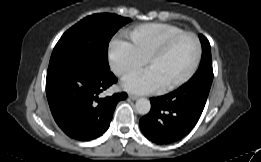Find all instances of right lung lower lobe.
Segmentation results:
<instances>
[{
    "label": "right lung lower lobe",
    "instance_id": "1",
    "mask_svg": "<svg viewBox=\"0 0 261 162\" xmlns=\"http://www.w3.org/2000/svg\"><path fill=\"white\" fill-rule=\"evenodd\" d=\"M117 81L109 68L87 60H69L48 68L46 95L58 126L71 138L89 141L109 128L117 103L127 97L117 93L99 98Z\"/></svg>",
    "mask_w": 261,
    "mask_h": 162
}]
</instances>
